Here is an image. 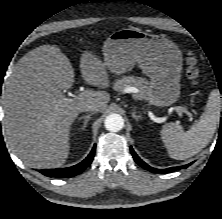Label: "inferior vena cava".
<instances>
[{
  "label": "inferior vena cava",
  "instance_id": "602c4592",
  "mask_svg": "<svg viewBox=\"0 0 222 219\" xmlns=\"http://www.w3.org/2000/svg\"><path fill=\"white\" fill-rule=\"evenodd\" d=\"M101 110V104L99 102H91L83 107V111L98 112Z\"/></svg>",
  "mask_w": 222,
  "mask_h": 219
}]
</instances>
